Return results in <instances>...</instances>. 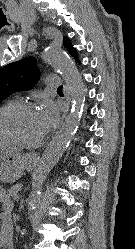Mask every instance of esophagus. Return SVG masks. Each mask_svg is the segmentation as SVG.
Returning <instances> with one entry per match:
<instances>
[{
	"label": "esophagus",
	"instance_id": "obj_1",
	"mask_svg": "<svg viewBox=\"0 0 135 249\" xmlns=\"http://www.w3.org/2000/svg\"><path fill=\"white\" fill-rule=\"evenodd\" d=\"M64 93H65V98H66V101H67V109H66V112L64 114V116L68 113L69 109H70V91H69V88L67 85H64Z\"/></svg>",
	"mask_w": 135,
	"mask_h": 249
}]
</instances>
